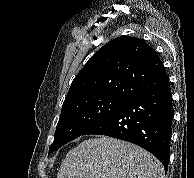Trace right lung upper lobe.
Wrapping results in <instances>:
<instances>
[{
  "mask_svg": "<svg viewBox=\"0 0 194 178\" xmlns=\"http://www.w3.org/2000/svg\"><path fill=\"white\" fill-rule=\"evenodd\" d=\"M169 78L156 51L143 39L121 36L99 49L73 79L63 105L78 99L128 100Z\"/></svg>",
  "mask_w": 194,
  "mask_h": 178,
  "instance_id": "obj_1",
  "label": "right lung upper lobe"
}]
</instances>
